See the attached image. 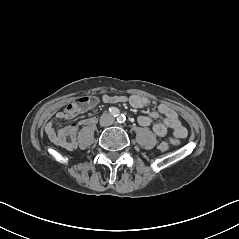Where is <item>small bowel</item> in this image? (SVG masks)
Here are the masks:
<instances>
[{
    "mask_svg": "<svg viewBox=\"0 0 239 239\" xmlns=\"http://www.w3.org/2000/svg\"><path fill=\"white\" fill-rule=\"evenodd\" d=\"M102 101L107 104L129 103L134 108H142L150 105L151 101L140 95L117 96L105 94ZM92 103H88L84 107H78L76 103L66 106L62 111L47 123L45 133L48 139L57 146L66 150H73L77 147L78 124H70L65 127L56 128V123L63 120H72L79 114L87 110ZM163 117L161 122L153 125V132L159 137H165L169 130H172V142L179 143L181 139L186 138L187 129L182 124L175 110L166 104H159L156 110L138 116L137 121L142 126H149L153 119ZM93 119L89 118L81 122L82 125L93 123Z\"/></svg>",
    "mask_w": 239,
    "mask_h": 239,
    "instance_id": "small-bowel-1",
    "label": "small bowel"
}]
</instances>
